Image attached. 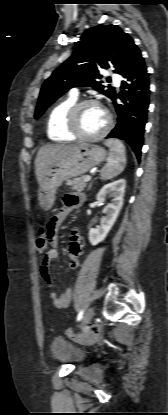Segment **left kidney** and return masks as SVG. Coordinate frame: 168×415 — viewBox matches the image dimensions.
<instances>
[{
	"instance_id": "obj_1",
	"label": "left kidney",
	"mask_w": 168,
	"mask_h": 415,
	"mask_svg": "<svg viewBox=\"0 0 168 415\" xmlns=\"http://www.w3.org/2000/svg\"><path fill=\"white\" fill-rule=\"evenodd\" d=\"M126 188V181L124 179L116 180L112 183L106 184L97 194L98 202H104L106 196L112 197V202L107 204L100 220V225L97 228H90L88 238L90 243L95 246L102 242L111 228L113 227L119 212L123 206V197Z\"/></svg>"
}]
</instances>
